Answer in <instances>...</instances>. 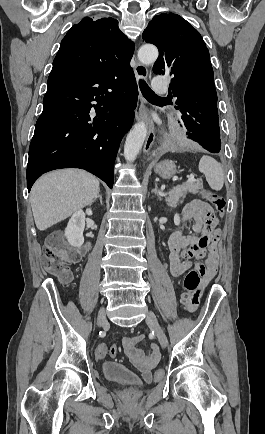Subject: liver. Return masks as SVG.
I'll use <instances>...</instances> for the list:
<instances>
[{
	"label": "liver",
	"instance_id": "liver-1",
	"mask_svg": "<svg viewBox=\"0 0 265 434\" xmlns=\"http://www.w3.org/2000/svg\"><path fill=\"white\" fill-rule=\"evenodd\" d=\"M100 182L84 170H57L39 178L30 192L38 230H47L69 218L75 210L91 206Z\"/></svg>",
	"mask_w": 265,
	"mask_h": 434
}]
</instances>
